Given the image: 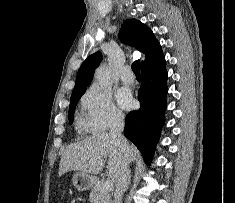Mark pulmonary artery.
<instances>
[{
  "mask_svg": "<svg viewBox=\"0 0 235 203\" xmlns=\"http://www.w3.org/2000/svg\"><path fill=\"white\" fill-rule=\"evenodd\" d=\"M120 79L125 84H131L134 82V75L132 74L129 66L123 68L120 74Z\"/></svg>",
  "mask_w": 235,
  "mask_h": 203,
  "instance_id": "1",
  "label": "pulmonary artery"
}]
</instances>
